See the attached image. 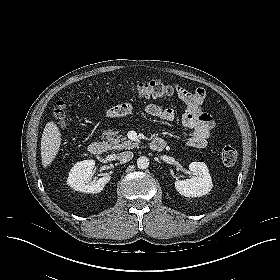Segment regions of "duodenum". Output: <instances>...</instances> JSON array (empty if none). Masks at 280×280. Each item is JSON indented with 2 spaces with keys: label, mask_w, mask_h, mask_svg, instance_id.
<instances>
[{
  "label": "duodenum",
  "mask_w": 280,
  "mask_h": 280,
  "mask_svg": "<svg viewBox=\"0 0 280 280\" xmlns=\"http://www.w3.org/2000/svg\"><path fill=\"white\" fill-rule=\"evenodd\" d=\"M150 148L153 151H162L165 148V142L161 138H155L150 144ZM106 145L102 141L91 142L88 146V150L92 155L99 156L105 152Z\"/></svg>",
  "instance_id": "obj_1"
}]
</instances>
